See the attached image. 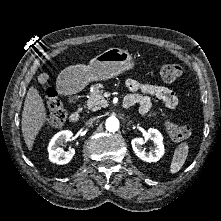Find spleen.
<instances>
[{
	"label": "spleen",
	"mask_w": 221,
	"mask_h": 221,
	"mask_svg": "<svg viewBox=\"0 0 221 221\" xmlns=\"http://www.w3.org/2000/svg\"><path fill=\"white\" fill-rule=\"evenodd\" d=\"M189 146L186 142H183L177 146L175 149L171 164L170 172L172 174L177 173L184 165L186 158L188 156Z\"/></svg>",
	"instance_id": "spleen-1"
}]
</instances>
